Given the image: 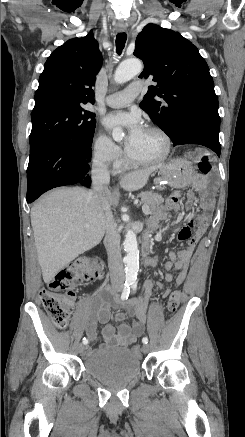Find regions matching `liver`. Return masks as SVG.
Masks as SVG:
<instances>
[{"label":"liver","instance_id":"1","mask_svg":"<svg viewBox=\"0 0 245 437\" xmlns=\"http://www.w3.org/2000/svg\"><path fill=\"white\" fill-rule=\"evenodd\" d=\"M156 169L126 174L121 188L130 192L143 188ZM106 197L110 204L117 200V194L109 190ZM31 224L43 280L49 283L72 260L101 242L106 231L101 196L78 187L56 189L31 208Z\"/></svg>","mask_w":245,"mask_h":437}]
</instances>
